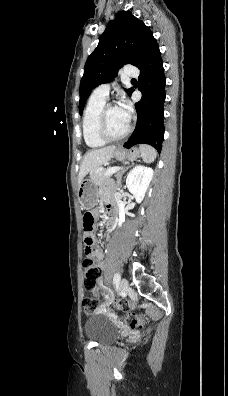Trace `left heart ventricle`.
Returning <instances> with one entry per match:
<instances>
[{
  "mask_svg": "<svg viewBox=\"0 0 228 396\" xmlns=\"http://www.w3.org/2000/svg\"><path fill=\"white\" fill-rule=\"evenodd\" d=\"M106 124L111 135H120L126 129L128 122L124 120L117 107H112L107 112Z\"/></svg>",
  "mask_w": 228,
  "mask_h": 396,
  "instance_id": "1",
  "label": "left heart ventricle"
}]
</instances>
